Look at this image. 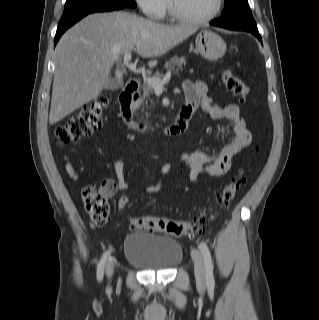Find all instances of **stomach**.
Returning <instances> with one entry per match:
<instances>
[{
	"label": "stomach",
	"mask_w": 319,
	"mask_h": 320,
	"mask_svg": "<svg viewBox=\"0 0 319 320\" xmlns=\"http://www.w3.org/2000/svg\"><path fill=\"white\" fill-rule=\"evenodd\" d=\"M195 45L199 54L209 61L222 58L227 49L224 40L217 33L207 29L197 35Z\"/></svg>",
	"instance_id": "1"
}]
</instances>
